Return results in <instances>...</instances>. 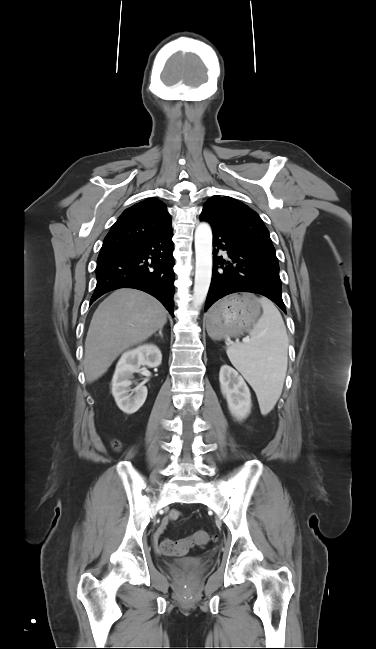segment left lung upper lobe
Returning a JSON list of instances; mask_svg holds the SVG:
<instances>
[{
	"label": "left lung upper lobe",
	"mask_w": 376,
	"mask_h": 649,
	"mask_svg": "<svg viewBox=\"0 0 376 649\" xmlns=\"http://www.w3.org/2000/svg\"><path fill=\"white\" fill-rule=\"evenodd\" d=\"M201 217L245 240L275 253L269 232L259 215L247 205L230 198L213 196L204 205Z\"/></svg>",
	"instance_id": "5c2ea615"
}]
</instances>
